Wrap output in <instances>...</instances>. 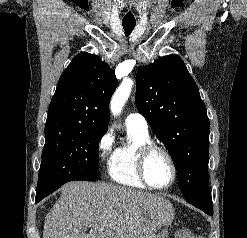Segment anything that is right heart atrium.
<instances>
[{
  "mask_svg": "<svg viewBox=\"0 0 247 238\" xmlns=\"http://www.w3.org/2000/svg\"><path fill=\"white\" fill-rule=\"evenodd\" d=\"M113 135L110 130H105L98 139L97 151L98 157L103 158L112 148Z\"/></svg>",
  "mask_w": 247,
  "mask_h": 238,
  "instance_id": "obj_1",
  "label": "right heart atrium"
}]
</instances>
